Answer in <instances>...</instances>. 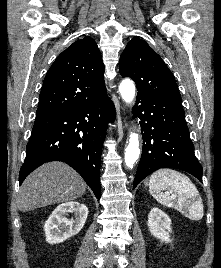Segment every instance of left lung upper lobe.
<instances>
[{
  "mask_svg": "<svg viewBox=\"0 0 221 268\" xmlns=\"http://www.w3.org/2000/svg\"><path fill=\"white\" fill-rule=\"evenodd\" d=\"M119 70L123 77L135 81L138 94L181 101L173 74L144 40L129 41L120 57Z\"/></svg>",
  "mask_w": 221,
  "mask_h": 268,
  "instance_id": "5c2ea615",
  "label": "left lung upper lobe"
}]
</instances>
